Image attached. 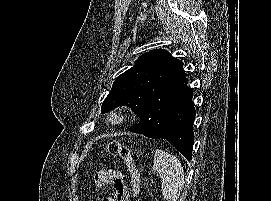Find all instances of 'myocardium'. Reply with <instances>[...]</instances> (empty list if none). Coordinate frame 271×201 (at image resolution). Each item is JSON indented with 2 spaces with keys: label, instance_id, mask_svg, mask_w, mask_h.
Listing matches in <instances>:
<instances>
[{
  "label": "myocardium",
  "instance_id": "obj_1",
  "mask_svg": "<svg viewBox=\"0 0 271 201\" xmlns=\"http://www.w3.org/2000/svg\"><path fill=\"white\" fill-rule=\"evenodd\" d=\"M108 122L113 126H120L125 123L126 116L119 110H112L107 116Z\"/></svg>",
  "mask_w": 271,
  "mask_h": 201
}]
</instances>
